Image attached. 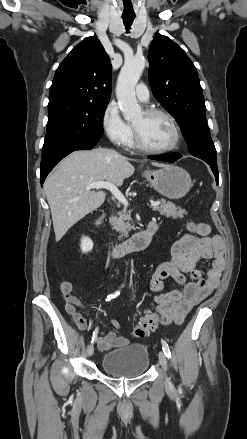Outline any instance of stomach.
Segmentation results:
<instances>
[{
	"label": "stomach",
	"mask_w": 247,
	"mask_h": 439,
	"mask_svg": "<svg viewBox=\"0 0 247 439\" xmlns=\"http://www.w3.org/2000/svg\"><path fill=\"white\" fill-rule=\"evenodd\" d=\"M143 175L157 192L169 199L184 197L192 187L189 173L174 165H164L157 170H146Z\"/></svg>",
	"instance_id": "0dacf381"
}]
</instances>
